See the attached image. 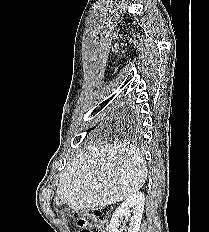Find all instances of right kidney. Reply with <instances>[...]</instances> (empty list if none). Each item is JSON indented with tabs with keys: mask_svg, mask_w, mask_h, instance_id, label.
<instances>
[{
	"mask_svg": "<svg viewBox=\"0 0 209 232\" xmlns=\"http://www.w3.org/2000/svg\"><path fill=\"white\" fill-rule=\"evenodd\" d=\"M145 196L142 192H137L128 197L113 213L108 232H122L124 229L120 226V220L130 219L127 232H138L141 224L142 214L144 211Z\"/></svg>",
	"mask_w": 209,
	"mask_h": 232,
	"instance_id": "1",
	"label": "right kidney"
}]
</instances>
